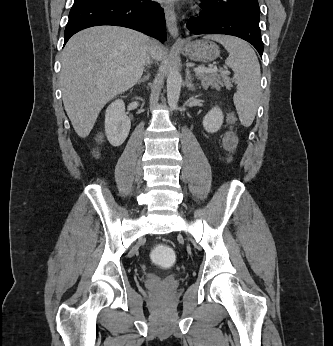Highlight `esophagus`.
Returning <instances> with one entry per match:
<instances>
[{
	"mask_svg": "<svg viewBox=\"0 0 333 346\" xmlns=\"http://www.w3.org/2000/svg\"><path fill=\"white\" fill-rule=\"evenodd\" d=\"M163 8H164L167 27L171 36L177 39V41H181L182 39L179 37L177 19H176V14H175L173 6L171 4H165Z\"/></svg>",
	"mask_w": 333,
	"mask_h": 346,
	"instance_id": "esophagus-1",
	"label": "esophagus"
}]
</instances>
